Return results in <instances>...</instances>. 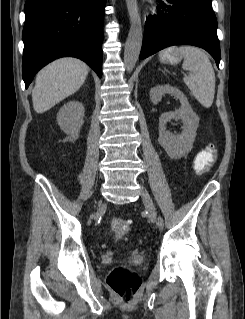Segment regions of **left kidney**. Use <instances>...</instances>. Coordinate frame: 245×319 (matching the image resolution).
<instances>
[{"label":"left kidney","instance_id":"5707ae66","mask_svg":"<svg viewBox=\"0 0 245 319\" xmlns=\"http://www.w3.org/2000/svg\"><path fill=\"white\" fill-rule=\"evenodd\" d=\"M165 94L178 98L181 107L176 111L166 112L160 116L159 143L166 150L169 157L177 159L187 155L191 151L199 125V117L191 108L184 93L169 84L157 85L151 88L150 100L153 104H157ZM172 119H181L183 121L181 134L175 135L166 130V123Z\"/></svg>","mask_w":245,"mask_h":319}]
</instances>
